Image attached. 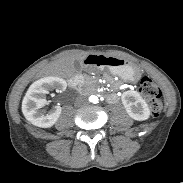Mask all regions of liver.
Listing matches in <instances>:
<instances>
[{
	"label": "liver",
	"instance_id": "6515ba94",
	"mask_svg": "<svg viewBox=\"0 0 183 183\" xmlns=\"http://www.w3.org/2000/svg\"><path fill=\"white\" fill-rule=\"evenodd\" d=\"M73 61H74V58H69L56 63L54 65L52 73L56 76H61V77L70 76L75 71L73 66Z\"/></svg>",
	"mask_w": 183,
	"mask_h": 183
}]
</instances>
